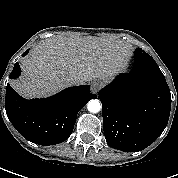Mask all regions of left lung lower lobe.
Masks as SVG:
<instances>
[{
	"label": "left lung lower lobe",
	"instance_id": "obj_1",
	"mask_svg": "<svg viewBox=\"0 0 178 178\" xmlns=\"http://www.w3.org/2000/svg\"><path fill=\"white\" fill-rule=\"evenodd\" d=\"M106 142L124 152L141 151L165 129L171 109V93L155 60L135 57L130 73L120 74L101 89Z\"/></svg>",
	"mask_w": 178,
	"mask_h": 178
}]
</instances>
